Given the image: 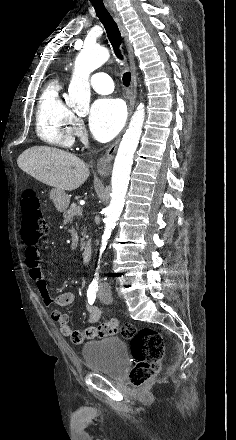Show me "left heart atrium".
I'll list each match as a JSON object with an SVG mask.
<instances>
[{"instance_id": "39dd6f15", "label": "left heart atrium", "mask_w": 236, "mask_h": 440, "mask_svg": "<svg viewBox=\"0 0 236 440\" xmlns=\"http://www.w3.org/2000/svg\"><path fill=\"white\" fill-rule=\"evenodd\" d=\"M126 117L124 104L119 99L100 98L90 109V128L94 137L102 142L114 138L121 130Z\"/></svg>"}]
</instances>
